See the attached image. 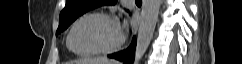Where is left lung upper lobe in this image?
Listing matches in <instances>:
<instances>
[{
	"label": "left lung upper lobe",
	"instance_id": "5c2ea615",
	"mask_svg": "<svg viewBox=\"0 0 242 64\" xmlns=\"http://www.w3.org/2000/svg\"><path fill=\"white\" fill-rule=\"evenodd\" d=\"M117 0H66L59 16L56 35L63 32L72 22L87 11L103 5H114Z\"/></svg>",
	"mask_w": 242,
	"mask_h": 64
}]
</instances>
